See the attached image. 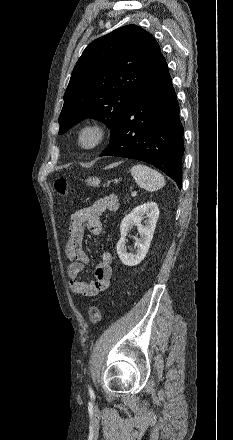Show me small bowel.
Segmentation results:
<instances>
[{"label":"small bowel","mask_w":233,"mask_h":440,"mask_svg":"<svg viewBox=\"0 0 233 440\" xmlns=\"http://www.w3.org/2000/svg\"><path fill=\"white\" fill-rule=\"evenodd\" d=\"M118 206V197L115 194H109L70 217L65 245V253L69 261L67 276L71 291L77 295L96 296L110 286L113 256L109 252L102 253L93 280H81L79 275L89 262L83 249L85 230H89L95 236L99 235L102 231L101 218L103 214L107 211L117 210Z\"/></svg>","instance_id":"obj_1"}]
</instances>
